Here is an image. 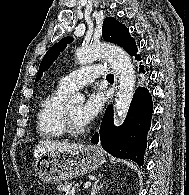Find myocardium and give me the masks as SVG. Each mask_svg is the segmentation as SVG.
I'll use <instances>...</instances> for the list:
<instances>
[{"instance_id": "obj_1", "label": "myocardium", "mask_w": 189, "mask_h": 195, "mask_svg": "<svg viewBox=\"0 0 189 195\" xmlns=\"http://www.w3.org/2000/svg\"><path fill=\"white\" fill-rule=\"evenodd\" d=\"M62 125H63L64 133H66L70 136H75V137L81 136L87 132V128L79 129L73 125L72 120H71V116L68 112L67 107L63 108Z\"/></svg>"}]
</instances>
